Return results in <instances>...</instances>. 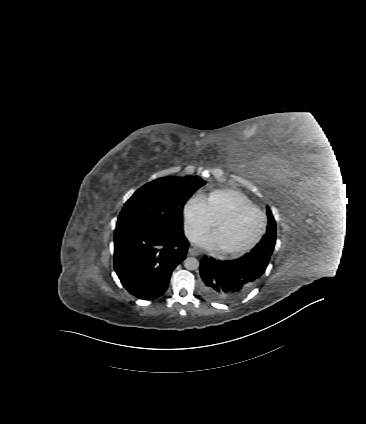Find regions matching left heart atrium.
Wrapping results in <instances>:
<instances>
[{
    "label": "left heart atrium",
    "instance_id": "1",
    "mask_svg": "<svg viewBox=\"0 0 366 424\" xmlns=\"http://www.w3.org/2000/svg\"><path fill=\"white\" fill-rule=\"evenodd\" d=\"M193 242L201 247H205L211 250L220 249L218 242L213 234L201 237Z\"/></svg>",
    "mask_w": 366,
    "mask_h": 424
}]
</instances>
